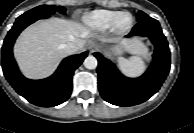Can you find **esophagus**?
I'll return each instance as SVG.
<instances>
[{"label":"esophagus","instance_id":"obj_1","mask_svg":"<svg viewBox=\"0 0 194 133\" xmlns=\"http://www.w3.org/2000/svg\"><path fill=\"white\" fill-rule=\"evenodd\" d=\"M98 48H99V44L98 43H96V42H90L89 49H90L91 52L97 50Z\"/></svg>","mask_w":194,"mask_h":133}]
</instances>
